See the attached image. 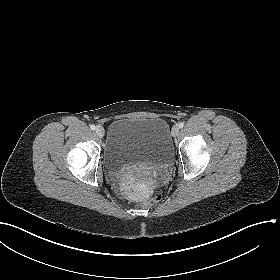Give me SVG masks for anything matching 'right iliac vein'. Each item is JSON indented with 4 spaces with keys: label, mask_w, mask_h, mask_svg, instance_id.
Returning a JSON list of instances; mask_svg holds the SVG:
<instances>
[{
    "label": "right iliac vein",
    "mask_w": 280,
    "mask_h": 280,
    "mask_svg": "<svg viewBox=\"0 0 280 280\" xmlns=\"http://www.w3.org/2000/svg\"><path fill=\"white\" fill-rule=\"evenodd\" d=\"M104 133H105V131H104V128H103V127L98 126V127L96 128V134H97L99 137H103V136H104Z\"/></svg>",
    "instance_id": "1"
}]
</instances>
